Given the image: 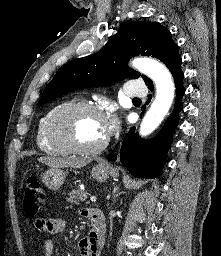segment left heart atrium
<instances>
[{"label": "left heart atrium", "mask_w": 221, "mask_h": 256, "mask_svg": "<svg viewBox=\"0 0 221 256\" xmlns=\"http://www.w3.org/2000/svg\"><path fill=\"white\" fill-rule=\"evenodd\" d=\"M116 127V120L115 119H105V124H104V131L105 134L108 135L109 133H111Z\"/></svg>", "instance_id": "1"}]
</instances>
